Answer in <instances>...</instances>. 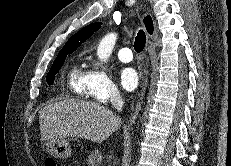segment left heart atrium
I'll return each instance as SVG.
<instances>
[{
	"mask_svg": "<svg viewBox=\"0 0 231 166\" xmlns=\"http://www.w3.org/2000/svg\"><path fill=\"white\" fill-rule=\"evenodd\" d=\"M120 82L122 87L127 91L135 89L138 84L136 71L130 67L123 68L120 72Z\"/></svg>",
	"mask_w": 231,
	"mask_h": 166,
	"instance_id": "obj_1",
	"label": "left heart atrium"
}]
</instances>
